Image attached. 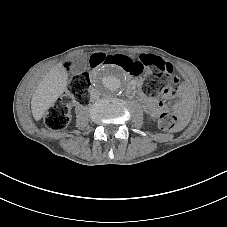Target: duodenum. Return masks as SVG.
<instances>
[{"mask_svg":"<svg viewBox=\"0 0 227 227\" xmlns=\"http://www.w3.org/2000/svg\"><path fill=\"white\" fill-rule=\"evenodd\" d=\"M132 90L134 91V85H132Z\"/></svg>","mask_w":227,"mask_h":227,"instance_id":"410a0bca","label":"duodenum"}]
</instances>
